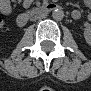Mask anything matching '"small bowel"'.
<instances>
[{"label": "small bowel", "instance_id": "1", "mask_svg": "<svg viewBox=\"0 0 91 91\" xmlns=\"http://www.w3.org/2000/svg\"><path fill=\"white\" fill-rule=\"evenodd\" d=\"M1 9L4 13H8L9 12V3L8 1H2L1 2Z\"/></svg>", "mask_w": 91, "mask_h": 91}]
</instances>
